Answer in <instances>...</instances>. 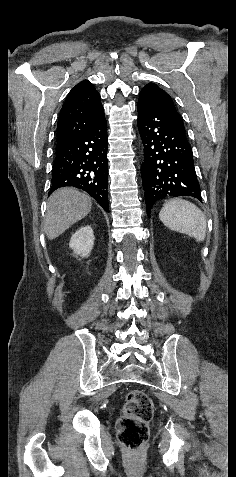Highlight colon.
I'll return each instance as SVG.
<instances>
[{
  "label": "colon",
  "mask_w": 236,
  "mask_h": 477,
  "mask_svg": "<svg viewBox=\"0 0 236 477\" xmlns=\"http://www.w3.org/2000/svg\"><path fill=\"white\" fill-rule=\"evenodd\" d=\"M154 407L149 396L142 390H130L125 398L122 416L118 421V440L127 450L139 451L148 439L149 422Z\"/></svg>",
  "instance_id": "colon-1"
}]
</instances>
